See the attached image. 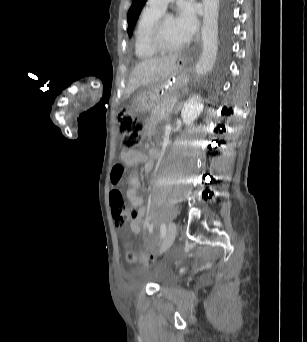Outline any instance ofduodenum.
Here are the masks:
<instances>
[{
	"label": "duodenum",
	"instance_id": "obj_1",
	"mask_svg": "<svg viewBox=\"0 0 307 342\" xmlns=\"http://www.w3.org/2000/svg\"><path fill=\"white\" fill-rule=\"evenodd\" d=\"M154 152L157 154V153H158V150H155Z\"/></svg>",
	"mask_w": 307,
	"mask_h": 342
}]
</instances>
